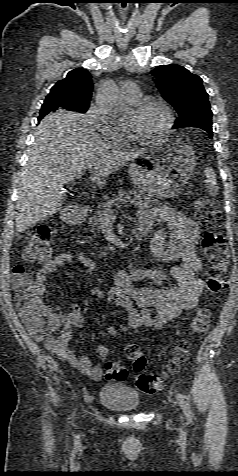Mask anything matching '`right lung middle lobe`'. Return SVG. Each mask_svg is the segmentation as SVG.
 I'll return each mask as SVG.
<instances>
[{"instance_id":"dd1d6c3e","label":"right lung middle lobe","mask_w":238,"mask_h":476,"mask_svg":"<svg viewBox=\"0 0 238 476\" xmlns=\"http://www.w3.org/2000/svg\"><path fill=\"white\" fill-rule=\"evenodd\" d=\"M63 99L64 98H62L59 94H55L51 97L46 98V100L44 101L42 105L39 119L44 117L49 112H54L56 110L62 111L63 109L69 110V111H76L79 113H85L89 107L87 105H74V104L66 106L63 102H61Z\"/></svg>"}]
</instances>
